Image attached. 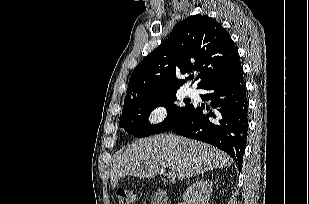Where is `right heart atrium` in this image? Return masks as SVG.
I'll return each mask as SVG.
<instances>
[{"label":"right heart atrium","instance_id":"d8ad5b80","mask_svg":"<svg viewBox=\"0 0 309 204\" xmlns=\"http://www.w3.org/2000/svg\"><path fill=\"white\" fill-rule=\"evenodd\" d=\"M166 115V109L162 104H154L149 111V122L158 123Z\"/></svg>","mask_w":309,"mask_h":204}]
</instances>
